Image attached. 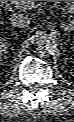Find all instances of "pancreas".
I'll use <instances>...</instances> for the list:
<instances>
[{"mask_svg":"<svg viewBox=\"0 0 74 122\" xmlns=\"http://www.w3.org/2000/svg\"><path fill=\"white\" fill-rule=\"evenodd\" d=\"M35 1H11V3L17 8L21 10L31 9L34 7Z\"/></svg>","mask_w":74,"mask_h":122,"instance_id":"cf45deb5","label":"pancreas"}]
</instances>
